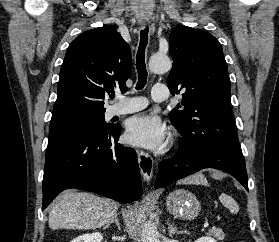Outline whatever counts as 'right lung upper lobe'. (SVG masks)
I'll return each instance as SVG.
<instances>
[{
	"instance_id": "1",
	"label": "right lung upper lobe",
	"mask_w": 279,
	"mask_h": 242,
	"mask_svg": "<svg viewBox=\"0 0 279 242\" xmlns=\"http://www.w3.org/2000/svg\"><path fill=\"white\" fill-rule=\"evenodd\" d=\"M131 69L130 47L114 28L99 27L82 33L67 49L52 115L105 112L103 99L115 87L127 89Z\"/></svg>"
}]
</instances>
